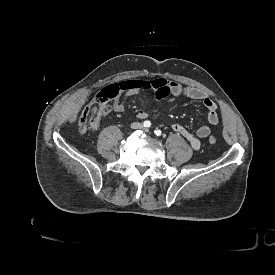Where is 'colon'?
<instances>
[{
    "mask_svg": "<svg viewBox=\"0 0 275 275\" xmlns=\"http://www.w3.org/2000/svg\"><path fill=\"white\" fill-rule=\"evenodd\" d=\"M107 112L106 104L98 101L90 104L81 114L79 119V127L83 130L87 129L93 122L98 121ZM215 136H210L208 142L212 145L216 143Z\"/></svg>",
    "mask_w": 275,
    "mask_h": 275,
    "instance_id": "1",
    "label": "colon"
}]
</instances>
